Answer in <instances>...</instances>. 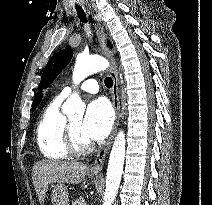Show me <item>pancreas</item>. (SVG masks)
Returning a JSON list of instances; mask_svg holds the SVG:
<instances>
[{
	"instance_id": "1",
	"label": "pancreas",
	"mask_w": 212,
	"mask_h": 205,
	"mask_svg": "<svg viewBox=\"0 0 212 205\" xmlns=\"http://www.w3.org/2000/svg\"><path fill=\"white\" fill-rule=\"evenodd\" d=\"M72 205H86V204H85L84 198L80 197V198H78L77 200H75V201L72 203Z\"/></svg>"
}]
</instances>
